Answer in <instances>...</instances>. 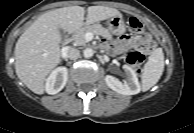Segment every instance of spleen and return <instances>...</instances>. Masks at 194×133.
Instances as JSON below:
<instances>
[{
    "label": "spleen",
    "mask_w": 194,
    "mask_h": 133,
    "mask_svg": "<svg viewBox=\"0 0 194 133\" xmlns=\"http://www.w3.org/2000/svg\"><path fill=\"white\" fill-rule=\"evenodd\" d=\"M164 70V54L162 48H157L149 56L147 63L144 65L141 76V87L143 91H148L153 87L162 76Z\"/></svg>",
    "instance_id": "1"
}]
</instances>
